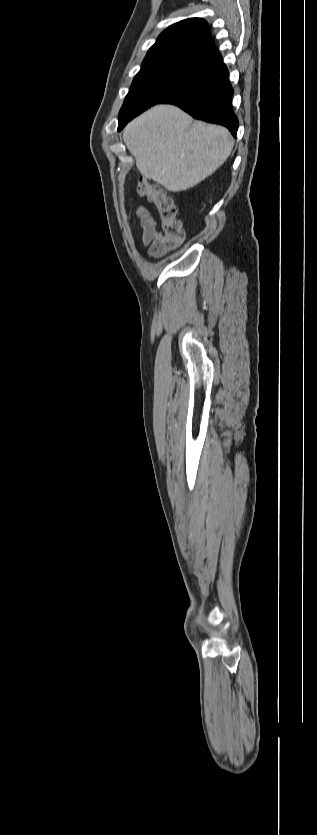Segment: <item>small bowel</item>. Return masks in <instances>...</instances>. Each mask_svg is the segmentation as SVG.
<instances>
[{
    "label": "small bowel",
    "mask_w": 317,
    "mask_h": 835,
    "mask_svg": "<svg viewBox=\"0 0 317 835\" xmlns=\"http://www.w3.org/2000/svg\"><path fill=\"white\" fill-rule=\"evenodd\" d=\"M136 214L140 219L141 225V241L144 245L150 246V252L154 256H159L163 252L159 249V243L162 238V233L157 229V221L151 212L144 206H138Z\"/></svg>",
    "instance_id": "small-bowel-1"
}]
</instances>
